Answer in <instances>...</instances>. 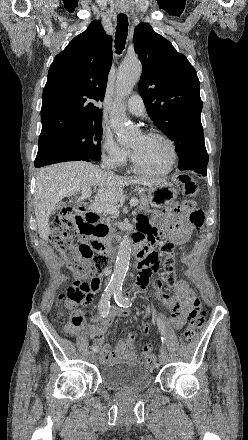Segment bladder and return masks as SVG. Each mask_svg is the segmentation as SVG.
<instances>
[{"label": "bladder", "instance_id": "1", "mask_svg": "<svg viewBox=\"0 0 248 440\" xmlns=\"http://www.w3.org/2000/svg\"><path fill=\"white\" fill-rule=\"evenodd\" d=\"M100 380L111 390L129 392L147 389L153 377L146 366L129 360H115L101 367Z\"/></svg>", "mask_w": 248, "mask_h": 440}]
</instances>
